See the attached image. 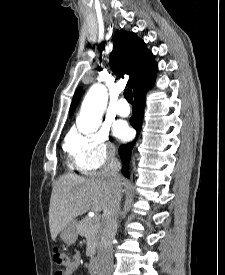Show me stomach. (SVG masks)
Masks as SVG:
<instances>
[{"mask_svg": "<svg viewBox=\"0 0 225 275\" xmlns=\"http://www.w3.org/2000/svg\"><path fill=\"white\" fill-rule=\"evenodd\" d=\"M61 240L67 244H74L78 238L77 224L76 222H71L68 224L60 233Z\"/></svg>", "mask_w": 225, "mask_h": 275, "instance_id": "obj_1", "label": "stomach"}]
</instances>
